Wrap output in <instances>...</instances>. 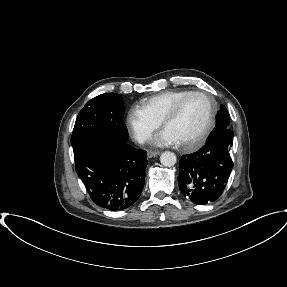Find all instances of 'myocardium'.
Wrapping results in <instances>:
<instances>
[{
	"mask_svg": "<svg viewBox=\"0 0 287 287\" xmlns=\"http://www.w3.org/2000/svg\"><path fill=\"white\" fill-rule=\"evenodd\" d=\"M194 96H201L203 97L207 104H208V116L205 127L201 131V133L194 139L180 143L181 146L189 149H194L200 146L209 136L211 131L214 128L215 124V115H216V105L213 99L205 92L201 91H191L187 95L180 98L172 107L171 109L164 115L161 126L164 128L165 124L171 120H173L180 112L181 108L185 104V102Z\"/></svg>",
	"mask_w": 287,
	"mask_h": 287,
	"instance_id": "myocardium-1",
	"label": "myocardium"
}]
</instances>
